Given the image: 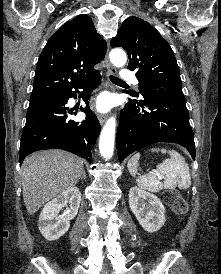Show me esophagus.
<instances>
[{
	"mask_svg": "<svg viewBox=\"0 0 221 274\" xmlns=\"http://www.w3.org/2000/svg\"><path fill=\"white\" fill-rule=\"evenodd\" d=\"M105 61H106L108 73L111 74V75H115L116 74V69L111 65V63H110L107 55L105 57ZM106 119H107L106 115H103V114H99L98 115V120H99V123L101 125L104 124V122L106 121Z\"/></svg>",
	"mask_w": 221,
	"mask_h": 274,
	"instance_id": "34e87169",
	"label": "esophagus"
}]
</instances>
